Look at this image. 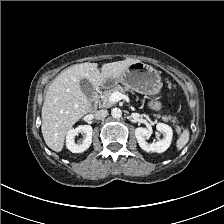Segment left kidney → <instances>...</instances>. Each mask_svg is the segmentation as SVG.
<instances>
[{
    "label": "left kidney",
    "instance_id": "1",
    "mask_svg": "<svg viewBox=\"0 0 224 224\" xmlns=\"http://www.w3.org/2000/svg\"><path fill=\"white\" fill-rule=\"evenodd\" d=\"M157 130L163 134V138L157 142L149 144L145 138L149 135L150 131L147 128L139 127L135 129V136L139 146L146 152L162 153L166 151L172 141L173 130L170 126L164 123L156 125Z\"/></svg>",
    "mask_w": 224,
    "mask_h": 224
}]
</instances>
